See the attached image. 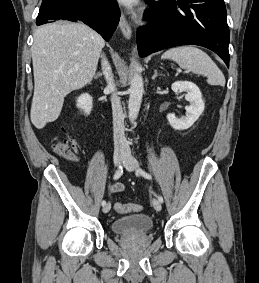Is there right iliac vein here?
<instances>
[{"instance_id": "63e3f726", "label": "right iliac vein", "mask_w": 259, "mask_h": 283, "mask_svg": "<svg viewBox=\"0 0 259 283\" xmlns=\"http://www.w3.org/2000/svg\"><path fill=\"white\" fill-rule=\"evenodd\" d=\"M123 158H124V154L122 152H115L113 156L114 164L116 166H119ZM110 209H111V203L109 202L103 207V212L108 213Z\"/></svg>"}]
</instances>
